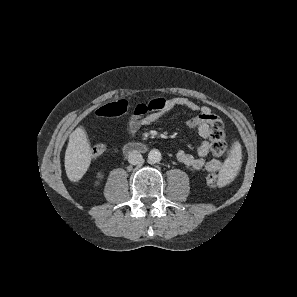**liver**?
I'll list each match as a JSON object with an SVG mask.
<instances>
[{"mask_svg": "<svg viewBox=\"0 0 297 297\" xmlns=\"http://www.w3.org/2000/svg\"><path fill=\"white\" fill-rule=\"evenodd\" d=\"M92 153L85 131L78 127L69 136L65 152V170L70 181H79L86 173Z\"/></svg>", "mask_w": 297, "mask_h": 297, "instance_id": "6515ba94", "label": "liver"}]
</instances>
